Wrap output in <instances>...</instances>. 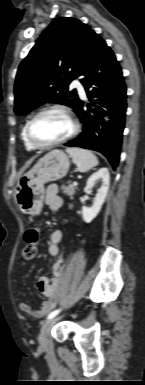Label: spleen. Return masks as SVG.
<instances>
[{
	"mask_svg": "<svg viewBox=\"0 0 145 385\" xmlns=\"http://www.w3.org/2000/svg\"><path fill=\"white\" fill-rule=\"evenodd\" d=\"M66 152L71 156L79 172H87L98 165L97 157L89 150L81 148H67Z\"/></svg>",
	"mask_w": 145,
	"mask_h": 385,
	"instance_id": "1",
	"label": "spleen"
}]
</instances>
